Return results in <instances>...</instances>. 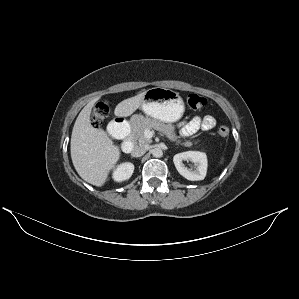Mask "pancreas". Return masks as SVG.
<instances>
[{
  "label": "pancreas",
  "mask_w": 299,
  "mask_h": 299,
  "mask_svg": "<svg viewBox=\"0 0 299 299\" xmlns=\"http://www.w3.org/2000/svg\"><path fill=\"white\" fill-rule=\"evenodd\" d=\"M132 132L130 134L131 139L137 140L140 144H148L151 142L150 139H146L144 136L145 130L155 129L162 132L166 137L176 144H182L186 147H191L193 142L192 141H185L182 142L178 139L174 129L175 127L169 124H164L161 121L156 119L138 116L134 117L132 120ZM197 144V142H195Z\"/></svg>",
  "instance_id": "cf45deb5"
}]
</instances>
